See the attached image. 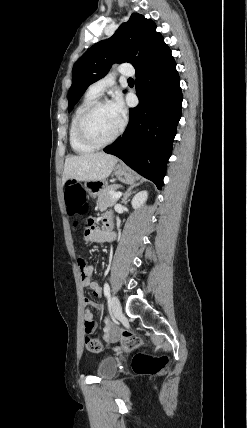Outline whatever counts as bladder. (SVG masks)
I'll use <instances>...</instances> for the list:
<instances>
[{
	"label": "bladder",
	"instance_id": "1",
	"mask_svg": "<svg viewBox=\"0 0 247 428\" xmlns=\"http://www.w3.org/2000/svg\"><path fill=\"white\" fill-rule=\"evenodd\" d=\"M116 371H117L116 359L111 356H107L101 359V361L99 362L96 373L98 377L102 379H108L113 377Z\"/></svg>",
	"mask_w": 247,
	"mask_h": 428
}]
</instances>
